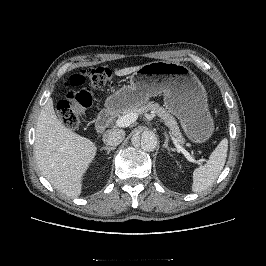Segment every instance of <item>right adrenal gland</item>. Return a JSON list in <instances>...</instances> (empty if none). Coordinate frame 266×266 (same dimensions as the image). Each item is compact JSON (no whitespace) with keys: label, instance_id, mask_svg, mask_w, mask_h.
<instances>
[{"label":"right adrenal gland","instance_id":"1","mask_svg":"<svg viewBox=\"0 0 266 266\" xmlns=\"http://www.w3.org/2000/svg\"><path fill=\"white\" fill-rule=\"evenodd\" d=\"M115 149H116L115 147H102V148H101V151H102V150H106V151H107V154H109L110 151L115 150Z\"/></svg>","mask_w":266,"mask_h":266}]
</instances>
